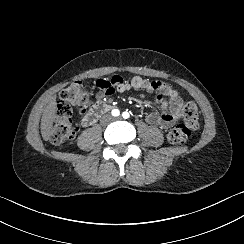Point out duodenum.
<instances>
[{
    "instance_id": "410a0bca",
    "label": "duodenum",
    "mask_w": 244,
    "mask_h": 244,
    "mask_svg": "<svg viewBox=\"0 0 244 244\" xmlns=\"http://www.w3.org/2000/svg\"><path fill=\"white\" fill-rule=\"evenodd\" d=\"M112 108V104L106 102L99 101L95 103L89 111V123H94L96 120H98V118H100L106 112H109Z\"/></svg>"
}]
</instances>
